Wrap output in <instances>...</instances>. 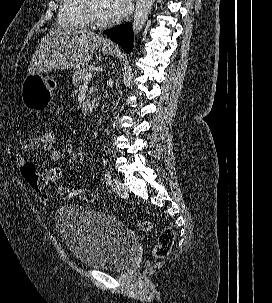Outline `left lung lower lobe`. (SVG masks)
I'll list each match as a JSON object with an SVG mask.
<instances>
[{
	"label": "left lung lower lobe",
	"mask_w": 272,
	"mask_h": 303,
	"mask_svg": "<svg viewBox=\"0 0 272 303\" xmlns=\"http://www.w3.org/2000/svg\"><path fill=\"white\" fill-rule=\"evenodd\" d=\"M109 38L117 42L121 47L130 53L133 47V33L131 24L126 23L104 32Z\"/></svg>",
	"instance_id": "1"
}]
</instances>
